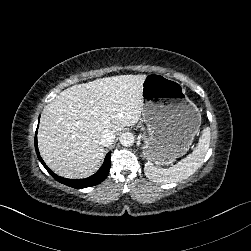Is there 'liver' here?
Listing matches in <instances>:
<instances>
[{
    "label": "liver",
    "mask_w": 251,
    "mask_h": 251,
    "mask_svg": "<svg viewBox=\"0 0 251 251\" xmlns=\"http://www.w3.org/2000/svg\"><path fill=\"white\" fill-rule=\"evenodd\" d=\"M145 74H125L75 84L45 107L37 143L41 158L56 175L85 179L105 155L101 135L134 125L142 112Z\"/></svg>",
    "instance_id": "liver-1"
}]
</instances>
